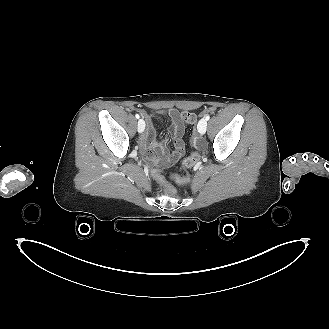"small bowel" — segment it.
<instances>
[{"mask_svg": "<svg viewBox=\"0 0 329 329\" xmlns=\"http://www.w3.org/2000/svg\"><path fill=\"white\" fill-rule=\"evenodd\" d=\"M140 113L148 121H151L152 114H149L144 110H140ZM159 113L168 116L172 122L170 132L174 144L173 152H168L166 140L157 143L156 130L151 122L147 125L146 131L141 137V144L145 150V158L151 164H158L162 167H166L178 160L184 153V124L180 116V111L175 108L160 110Z\"/></svg>", "mask_w": 329, "mask_h": 329, "instance_id": "obj_1", "label": "small bowel"}]
</instances>
